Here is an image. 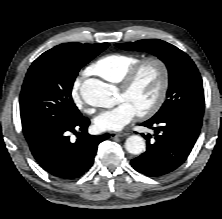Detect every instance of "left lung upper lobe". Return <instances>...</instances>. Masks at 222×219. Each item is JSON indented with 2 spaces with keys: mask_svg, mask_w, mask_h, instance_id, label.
Here are the masks:
<instances>
[{
  "mask_svg": "<svg viewBox=\"0 0 222 219\" xmlns=\"http://www.w3.org/2000/svg\"><path fill=\"white\" fill-rule=\"evenodd\" d=\"M116 46L127 51L151 53L166 64L169 72L167 100L152 118L180 112L202 119L205 106L202 79L186 53L159 39L119 43Z\"/></svg>",
  "mask_w": 222,
  "mask_h": 219,
  "instance_id": "obj_1",
  "label": "left lung upper lobe"
}]
</instances>
